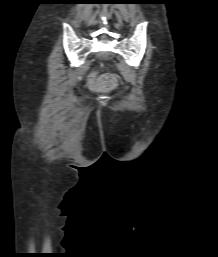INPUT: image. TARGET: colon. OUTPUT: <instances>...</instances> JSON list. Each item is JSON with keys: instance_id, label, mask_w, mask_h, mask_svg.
Instances as JSON below:
<instances>
[{"instance_id": "colon-1", "label": "colon", "mask_w": 218, "mask_h": 257, "mask_svg": "<svg viewBox=\"0 0 218 257\" xmlns=\"http://www.w3.org/2000/svg\"><path fill=\"white\" fill-rule=\"evenodd\" d=\"M91 87L96 90H107L116 87L117 79L112 74H107L99 78H93L90 82Z\"/></svg>"}]
</instances>
